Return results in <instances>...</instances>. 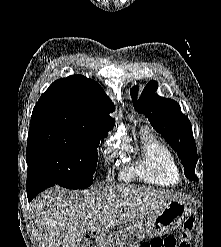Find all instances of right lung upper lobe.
Returning a JSON list of instances; mask_svg holds the SVG:
<instances>
[{
  "label": "right lung upper lobe",
  "mask_w": 221,
  "mask_h": 247,
  "mask_svg": "<svg viewBox=\"0 0 221 247\" xmlns=\"http://www.w3.org/2000/svg\"><path fill=\"white\" fill-rule=\"evenodd\" d=\"M115 107L103 88L83 75L53 82L40 97L30 120V129L63 128L105 138L115 120Z\"/></svg>",
  "instance_id": "right-lung-upper-lobe-1"
}]
</instances>
